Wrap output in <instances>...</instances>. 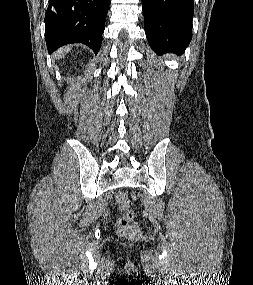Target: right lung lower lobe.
Masks as SVG:
<instances>
[{"instance_id":"right-lung-lower-lobe-1","label":"right lung lower lobe","mask_w":253,"mask_h":285,"mask_svg":"<svg viewBox=\"0 0 253 285\" xmlns=\"http://www.w3.org/2000/svg\"><path fill=\"white\" fill-rule=\"evenodd\" d=\"M108 9L109 0H49L45 14L48 52L65 44L83 43L97 54Z\"/></svg>"}]
</instances>
